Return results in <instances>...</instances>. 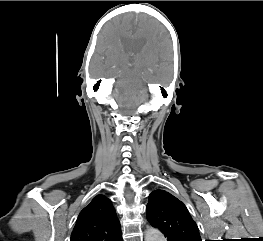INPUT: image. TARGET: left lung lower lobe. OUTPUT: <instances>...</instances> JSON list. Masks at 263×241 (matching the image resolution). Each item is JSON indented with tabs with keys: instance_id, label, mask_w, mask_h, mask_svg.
<instances>
[{
	"instance_id": "0a47b994",
	"label": "left lung lower lobe",
	"mask_w": 263,
	"mask_h": 241,
	"mask_svg": "<svg viewBox=\"0 0 263 241\" xmlns=\"http://www.w3.org/2000/svg\"><path fill=\"white\" fill-rule=\"evenodd\" d=\"M165 237L167 238L168 241H177L175 238L165 235Z\"/></svg>"
}]
</instances>
